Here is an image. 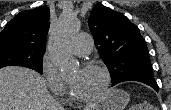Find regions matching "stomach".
<instances>
[{"instance_id": "obj_1", "label": "stomach", "mask_w": 171, "mask_h": 110, "mask_svg": "<svg viewBox=\"0 0 171 110\" xmlns=\"http://www.w3.org/2000/svg\"><path fill=\"white\" fill-rule=\"evenodd\" d=\"M129 99V94L125 91L113 89L107 93L105 100L99 106L89 110H125Z\"/></svg>"}]
</instances>
